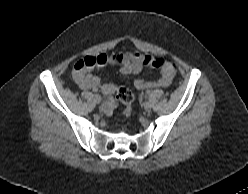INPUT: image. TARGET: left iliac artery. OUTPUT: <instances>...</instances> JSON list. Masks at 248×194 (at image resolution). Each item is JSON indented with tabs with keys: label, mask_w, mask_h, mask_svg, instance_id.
I'll list each match as a JSON object with an SVG mask.
<instances>
[{
	"label": "left iliac artery",
	"mask_w": 248,
	"mask_h": 194,
	"mask_svg": "<svg viewBox=\"0 0 248 194\" xmlns=\"http://www.w3.org/2000/svg\"><path fill=\"white\" fill-rule=\"evenodd\" d=\"M147 94L149 95L150 94V91H147Z\"/></svg>",
	"instance_id": "obj_1"
}]
</instances>
